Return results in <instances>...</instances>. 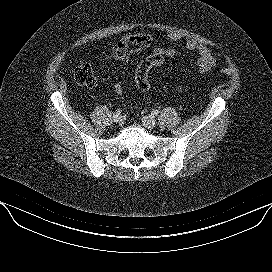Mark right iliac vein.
<instances>
[{
	"mask_svg": "<svg viewBox=\"0 0 272 272\" xmlns=\"http://www.w3.org/2000/svg\"><path fill=\"white\" fill-rule=\"evenodd\" d=\"M113 122L116 124H120L122 122V117L120 115H114L113 116Z\"/></svg>",
	"mask_w": 272,
	"mask_h": 272,
	"instance_id": "obj_1",
	"label": "right iliac vein"
}]
</instances>
